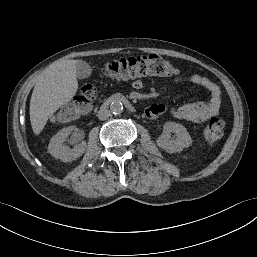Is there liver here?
<instances>
[{
    "label": "liver",
    "instance_id": "1",
    "mask_svg": "<svg viewBox=\"0 0 257 257\" xmlns=\"http://www.w3.org/2000/svg\"><path fill=\"white\" fill-rule=\"evenodd\" d=\"M77 62L73 59L56 61L38 76L29 111L35 135H39L49 117L76 94Z\"/></svg>",
    "mask_w": 257,
    "mask_h": 257
}]
</instances>
